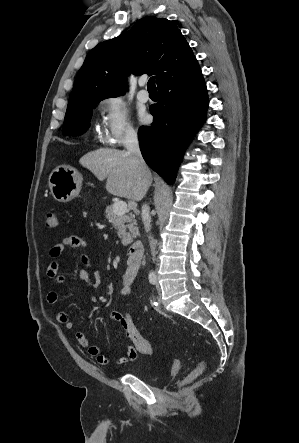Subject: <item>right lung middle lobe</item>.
<instances>
[{"instance_id": "dd1d6c3e", "label": "right lung middle lobe", "mask_w": 299, "mask_h": 443, "mask_svg": "<svg viewBox=\"0 0 299 443\" xmlns=\"http://www.w3.org/2000/svg\"><path fill=\"white\" fill-rule=\"evenodd\" d=\"M100 101H88L67 108L63 124V134L66 136H77L85 132L89 127L92 110Z\"/></svg>"}]
</instances>
